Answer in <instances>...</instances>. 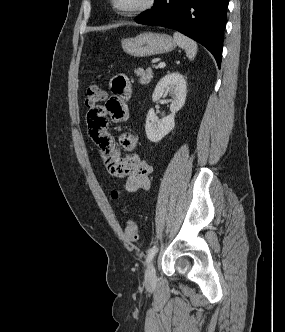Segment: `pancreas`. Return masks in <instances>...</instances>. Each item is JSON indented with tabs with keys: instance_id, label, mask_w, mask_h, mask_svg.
<instances>
[{
	"instance_id": "1",
	"label": "pancreas",
	"mask_w": 285,
	"mask_h": 332,
	"mask_svg": "<svg viewBox=\"0 0 285 332\" xmlns=\"http://www.w3.org/2000/svg\"><path fill=\"white\" fill-rule=\"evenodd\" d=\"M135 74L139 76V82L143 85H147L153 78V73L150 68L144 70L142 68L135 69Z\"/></svg>"
}]
</instances>
